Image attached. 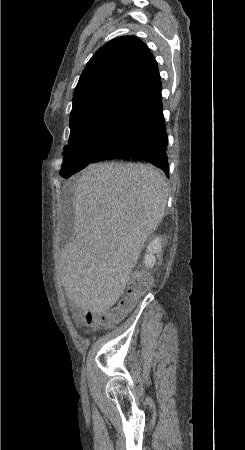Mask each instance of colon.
I'll list each match as a JSON object with an SVG mask.
<instances>
[{"mask_svg": "<svg viewBox=\"0 0 245 450\" xmlns=\"http://www.w3.org/2000/svg\"><path fill=\"white\" fill-rule=\"evenodd\" d=\"M143 275L139 272L132 274L126 284V292L119 302L112 308L93 313L90 318L84 320L87 327L107 326L119 322L133 309L139 297L147 290Z\"/></svg>", "mask_w": 245, "mask_h": 450, "instance_id": "colon-1", "label": "colon"}]
</instances>
